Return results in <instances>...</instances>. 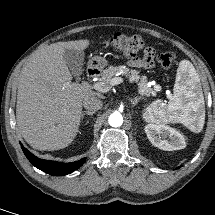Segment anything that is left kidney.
<instances>
[{"label":"left kidney","instance_id":"5707ae66","mask_svg":"<svg viewBox=\"0 0 215 215\" xmlns=\"http://www.w3.org/2000/svg\"><path fill=\"white\" fill-rule=\"evenodd\" d=\"M145 133L150 142L159 149L173 151L186 147L184 136L165 124H148L145 126Z\"/></svg>","mask_w":215,"mask_h":215}]
</instances>
